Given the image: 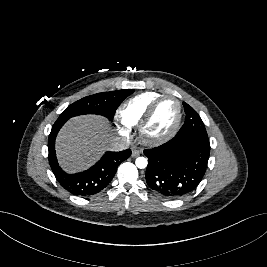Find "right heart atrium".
<instances>
[{
	"label": "right heart atrium",
	"instance_id": "right-heart-atrium-1",
	"mask_svg": "<svg viewBox=\"0 0 267 267\" xmlns=\"http://www.w3.org/2000/svg\"><path fill=\"white\" fill-rule=\"evenodd\" d=\"M120 132L122 135L127 136L129 134L128 129L126 128V126L122 123V125L120 126Z\"/></svg>",
	"mask_w": 267,
	"mask_h": 267
}]
</instances>
